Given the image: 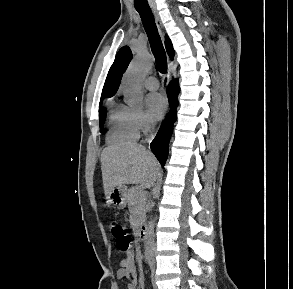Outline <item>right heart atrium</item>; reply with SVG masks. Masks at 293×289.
<instances>
[{"label":"right heart atrium","mask_w":293,"mask_h":289,"mask_svg":"<svg viewBox=\"0 0 293 289\" xmlns=\"http://www.w3.org/2000/svg\"><path fill=\"white\" fill-rule=\"evenodd\" d=\"M134 118L139 132L148 134L152 131L154 127L153 121L144 111L134 110Z\"/></svg>","instance_id":"d8ad5b80"}]
</instances>
